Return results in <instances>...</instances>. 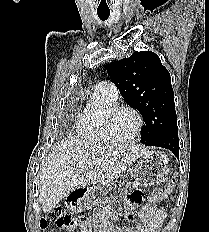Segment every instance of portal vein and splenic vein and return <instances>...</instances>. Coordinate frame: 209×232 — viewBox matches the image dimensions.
Segmentation results:
<instances>
[{
  "mask_svg": "<svg viewBox=\"0 0 209 232\" xmlns=\"http://www.w3.org/2000/svg\"><path fill=\"white\" fill-rule=\"evenodd\" d=\"M93 164H94V165H97V164H98V161H93Z\"/></svg>",
  "mask_w": 209,
  "mask_h": 232,
  "instance_id": "18ae733b",
  "label": "portal vein and splenic vein"
}]
</instances>
